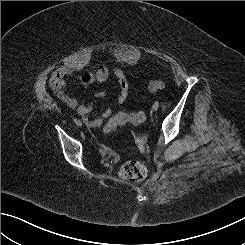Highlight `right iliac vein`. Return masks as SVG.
<instances>
[{
  "mask_svg": "<svg viewBox=\"0 0 245 245\" xmlns=\"http://www.w3.org/2000/svg\"><path fill=\"white\" fill-rule=\"evenodd\" d=\"M77 125H78V126H82V122H81V121H78V122H77Z\"/></svg>",
  "mask_w": 245,
  "mask_h": 245,
  "instance_id": "right-iliac-vein-1",
  "label": "right iliac vein"
}]
</instances>
